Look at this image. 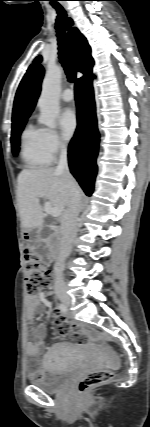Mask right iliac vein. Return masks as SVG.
<instances>
[{
    "label": "right iliac vein",
    "instance_id": "right-iliac-vein-1",
    "mask_svg": "<svg viewBox=\"0 0 150 427\" xmlns=\"http://www.w3.org/2000/svg\"><path fill=\"white\" fill-rule=\"evenodd\" d=\"M57 296L65 305H69L71 303V299L65 291H58Z\"/></svg>",
    "mask_w": 150,
    "mask_h": 427
}]
</instances>
